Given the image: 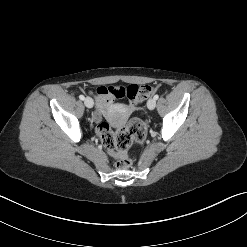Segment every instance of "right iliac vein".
<instances>
[{
	"label": "right iliac vein",
	"instance_id": "63e3f726",
	"mask_svg": "<svg viewBox=\"0 0 247 247\" xmlns=\"http://www.w3.org/2000/svg\"><path fill=\"white\" fill-rule=\"evenodd\" d=\"M84 104H85L86 107L92 108L93 105H94V102H93L92 98L86 97V98L84 99Z\"/></svg>",
	"mask_w": 247,
	"mask_h": 247
}]
</instances>
